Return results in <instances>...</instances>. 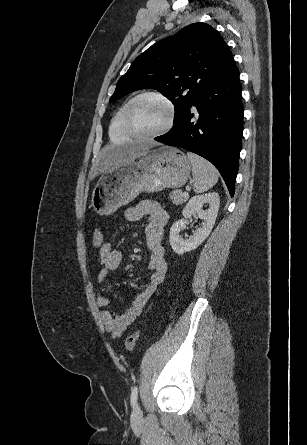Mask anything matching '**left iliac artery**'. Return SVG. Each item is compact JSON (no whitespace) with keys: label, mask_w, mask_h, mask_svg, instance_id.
<instances>
[{"label":"left iliac artery","mask_w":307,"mask_h":445,"mask_svg":"<svg viewBox=\"0 0 307 445\" xmlns=\"http://www.w3.org/2000/svg\"><path fill=\"white\" fill-rule=\"evenodd\" d=\"M137 397H138V387L135 386V387L132 389V393H131V405H132L133 407L136 405Z\"/></svg>","instance_id":"44dca946"}]
</instances>
